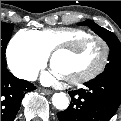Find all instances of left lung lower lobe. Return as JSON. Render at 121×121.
Instances as JSON below:
<instances>
[{"label": "left lung lower lobe", "instance_id": "left-lung-lower-lobe-1", "mask_svg": "<svg viewBox=\"0 0 121 121\" xmlns=\"http://www.w3.org/2000/svg\"><path fill=\"white\" fill-rule=\"evenodd\" d=\"M86 89L69 92V107L57 114L59 121H109L121 102V78L100 75Z\"/></svg>", "mask_w": 121, "mask_h": 121}]
</instances>
